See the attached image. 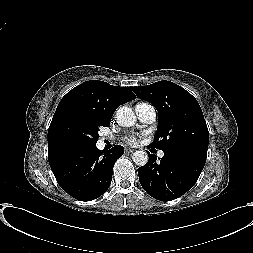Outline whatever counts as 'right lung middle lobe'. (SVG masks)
Instances as JSON below:
<instances>
[{
    "label": "right lung middle lobe",
    "instance_id": "obj_1",
    "mask_svg": "<svg viewBox=\"0 0 253 253\" xmlns=\"http://www.w3.org/2000/svg\"><path fill=\"white\" fill-rule=\"evenodd\" d=\"M108 125L101 121L79 114L61 116L48 132V148H65L96 145L99 128Z\"/></svg>",
    "mask_w": 253,
    "mask_h": 253
}]
</instances>
